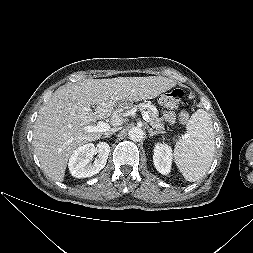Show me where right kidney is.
<instances>
[{
	"instance_id": "right-kidney-1",
	"label": "right kidney",
	"mask_w": 253,
	"mask_h": 253,
	"mask_svg": "<svg viewBox=\"0 0 253 253\" xmlns=\"http://www.w3.org/2000/svg\"><path fill=\"white\" fill-rule=\"evenodd\" d=\"M110 146L106 142H100L95 147L89 143L78 147L69 159V170L72 176L76 178L91 177L99 173L106 165ZM98 153L94 163L90 160Z\"/></svg>"
}]
</instances>
